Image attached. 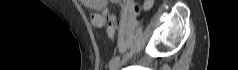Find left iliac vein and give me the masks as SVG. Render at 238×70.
<instances>
[{
	"label": "left iliac vein",
	"mask_w": 238,
	"mask_h": 70,
	"mask_svg": "<svg viewBox=\"0 0 238 70\" xmlns=\"http://www.w3.org/2000/svg\"><path fill=\"white\" fill-rule=\"evenodd\" d=\"M117 67H118V65L115 64L114 66L110 67V70H116Z\"/></svg>",
	"instance_id": "left-iliac-vein-1"
}]
</instances>
